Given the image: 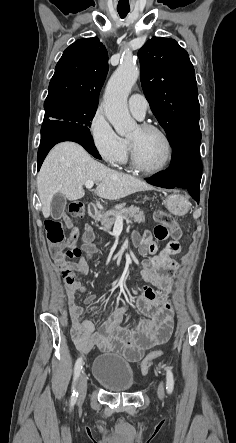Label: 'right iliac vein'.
<instances>
[{"mask_svg":"<svg viewBox=\"0 0 236 443\" xmlns=\"http://www.w3.org/2000/svg\"><path fill=\"white\" fill-rule=\"evenodd\" d=\"M87 391V375L82 373L78 383V393L79 397L82 398L85 396Z\"/></svg>","mask_w":236,"mask_h":443,"instance_id":"63e3f726","label":"right iliac vein"}]
</instances>
